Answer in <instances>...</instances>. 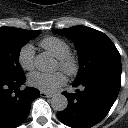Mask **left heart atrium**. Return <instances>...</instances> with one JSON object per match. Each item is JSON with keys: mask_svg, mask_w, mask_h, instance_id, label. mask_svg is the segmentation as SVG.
Masks as SVG:
<instances>
[{"mask_svg": "<svg viewBox=\"0 0 128 128\" xmlns=\"http://www.w3.org/2000/svg\"><path fill=\"white\" fill-rule=\"evenodd\" d=\"M65 82L66 77L61 71L51 74L35 72L29 77L30 85L44 92H52L56 88L64 85Z\"/></svg>", "mask_w": 128, "mask_h": 128, "instance_id": "1", "label": "left heart atrium"}]
</instances>
